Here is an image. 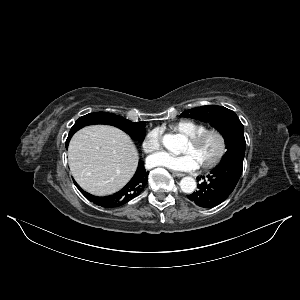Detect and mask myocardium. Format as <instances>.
Wrapping results in <instances>:
<instances>
[{
	"label": "myocardium",
	"instance_id": "myocardium-1",
	"mask_svg": "<svg viewBox=\"0 0 300 300\" xmlns=\"http://www.w3.org/2000/svg\"><path fill=\"white\" fill-rule=\"evenodd\" d=\"M211 133L216 134L219 138V150H218V153L216 154V156L212 160L199 165V167L202 170L213 169L217 165H219L220 162L223 160V158L225 157L226 152H227L226 136H225L224 132L218 127H206L204 129H202L201 131H199L198 133H196L195 135L187 137V141L190 144L196 145L200 141H202L205 136H207L208 134H211Z\"/></svg>",
	"mask_w": 300,
	"mask_h": 300
}]
</instances>
